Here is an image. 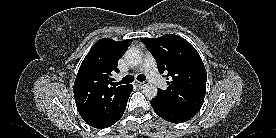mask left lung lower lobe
I'll return each mask as SVG.
<instances>
[{
	"label": "left lung lower lobe",
	"mask_w": 276,
	"mask_h": 138,
	"mask_svg": "<svg viewBox=\"0 0 276 138\" xmlns=\"http://www.w3.org/2000/svg\"><path fill=\"white\" fill-rule=\"evenodd\" d=\"M151 105L158 116L172 123L186 122L196 115V112L178 108L164 102L158 97L151 101Z\"/></svg>",
	"instance_id": "left-lung-lower-lobe-1"
}]
</instances>
